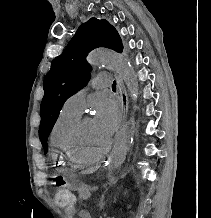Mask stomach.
<instances>
[{"instance_id":"0dacf381","label":"stomach","mask_w":211,"mask_h":218,"mask_svg":"<svg viewBox=\"0 0 211 218\" xmlns=\"http://www.w3.org/2000/svg\"><path fill=\"white\" fill-rule=\"evenodd\" d=\"M83 184L78 180L76 175L65 176V186L71 190H78Z\"/></svg>"}]
</instances>
